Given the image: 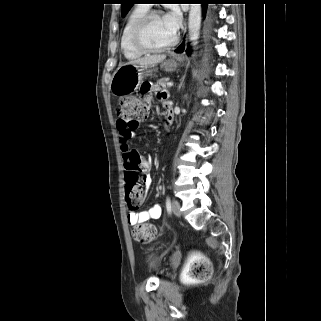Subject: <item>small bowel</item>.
I'll return each mask as SVG.
<instances>
[{"mask_svg": "<svg viewBox=\"0 0 321 321\" xmlns=\"http://www.w3.org/2000/svg\"><path fill=\"white\" fill-rule=\"evenodd\" d=\"M155 93L157 98L163 103L164 108L167 112L172 111V105L169 100L168 93L165 90L153 87L151 85L150 80H143L141 82L140 87H138L137 91H135V98H143L145 97V104H152L151 95ZM167 126H169L168 122H166ZM116 127L118 130V139L121 151L123 153V160L126 166L127 162L131 154L137 153L135 150L130 148L129 141L133 137H135V129L136 127H131L121 120H117ZM147 161V160H146ZM148 163V162H147ZM148 167L146 170L142 172L143 174V182L146 186H149L152 182L151 176L147 173ZM161 206L159 204H153L149 208L142 210L140 212H129L127 215V222L131 226H137L148 222L149 220L159 219L161 216Z\"/></svg>", "mask_w": 321, "mask_h": 321, "instance_id": "c3829d8e", "label": "small bowel"}]
</instances>
